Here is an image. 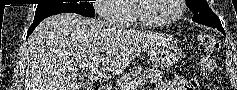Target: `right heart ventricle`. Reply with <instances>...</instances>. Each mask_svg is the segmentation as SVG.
I'll return each mask as SVG.
<instances>
[{
	"label": "right heart ventricle",
	"mask_w": 237,
	"mask_h": 90,
	"mask_svg": "<svg viewBox=\"0 0 237 90\" xmlns=\"http://www.w3.org/2000/svg\"><path fill=\"white\" fill-rule=\"evenodd\" d=\"M128 4H123V7H114V11H130ZM116 28H140L139 23L135 19H125L116 25Z\"/></svg>",
	"instance_id": "e07e8e85"
}]
</instances>
